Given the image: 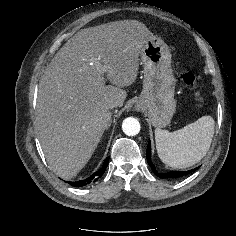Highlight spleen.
<instances>
[{
    "mask_svg": "<svg viewBox=\"0 0 236 236\" xmlns=\"http://www.w3.org/2000/svg\"><path fill=\"white\" fill-rule=\"evenodd\" d=\"M214 119L202 116L174 132L155 129L157 153L162 162L174 168H187L199 162L210 148Z\"/></svg>",
    "mask_w": 236,
    "mask_h": 236,
    "instance_id": "3e777b00",
    "label": "spleen"
}]
</instances>
